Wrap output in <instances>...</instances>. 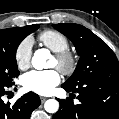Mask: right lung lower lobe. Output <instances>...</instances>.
<instances>
[{"instance_id": "obj_1", "label": "right lung lower lobe", "mask_w": 119, "mask_h": 119, "mask_svg": "<svg viewBox=\"0 0 119 119\" xmlns=\"http://www.w3.org/2000/svg\"><path fill=\"white\" fill-rule=\"evenodd\" d=\"M10 86L0 84V119H29L33 110L41 103L37 94L29 92L19 98L14 105L4 103L3 96L8 94Z\"/></svg>"}]
</instances>
